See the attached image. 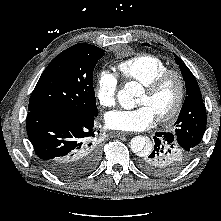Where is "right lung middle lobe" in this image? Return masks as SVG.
<instances>
[{"label": "right lung middle lobe", "mask_w": 221, "mask_h": 221, "mask_svg": "<svg viewBox=\"0 0 221 221\" xmlns=\"http://www.w3.org/2000/svg\"><path fill=\"white\" fill-rule=\"evenodd\" d=\"M104 50L76 44L56 56L42 73L29 102V111L92 114L98 112L92 76Z\"/></svg>", "instance_id": "dd1d6c3e"}]
</instances>
